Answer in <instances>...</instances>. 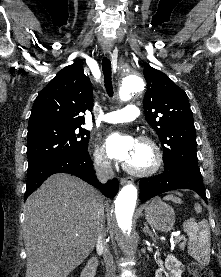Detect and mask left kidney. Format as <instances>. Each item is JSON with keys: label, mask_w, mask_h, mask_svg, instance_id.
I'll return each mask as SVG.
<instances>
[{"label": "left kidney", "mask_w": 221, "mask_h": 277, "mask_svg": "<svg viewBox=\"0 0 221 277\" xmlns=\"http://www.w3.org/2000/svg\"><path fill=\"white\" fill-rule=\"evenodd\" d=\"M182 263L172 254H169L165 259V268H160L156 271L155 277H181L183 272ZM169 271V273L166 272Z\"/></svg>", "instance_id": "5707ae66"}]
</instances>
